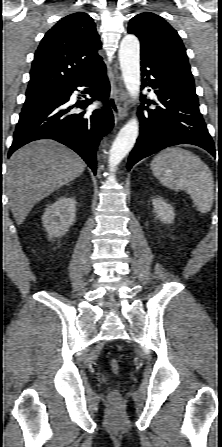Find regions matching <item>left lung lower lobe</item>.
I'll return each instance as SVG.
<instances>
[{
    "instance_id": "left-lung-lower-lobe-1",
    "label": "left lung lower lobe",
    "mask_w": 222,
    "mask_h": 447,
    "mask_svg": "<svg viewBox=\"0 0 222 447\" xmlns=\"http://www.w3.org/2000/svg\"><path fill=\"white\" fill-rule=\"evenodd\" d=\"M141 76L154 89L156 105L148 109L141 105L138 112L140 136L128 159V171L141 159L159 150L182 143L193 144L215 157V146L199 111L195 86L160 62L141 55Z\"/></svg>"
}]
</instances>
